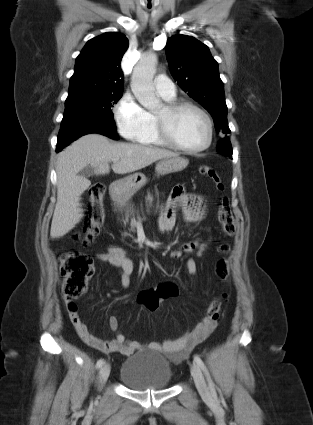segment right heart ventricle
I'll return each instance as SVG.
<instances>
[{"label": "right heart ventricle", "mask_w": 313, "mask_h": 425, "mask_svg": "<svg viewBox=\"0 0 313 425\" xmlns=\"http://www.w3.org/2000/svg\"><path fill=\"white\" fill-rule=\"evenodd\" d=\"M165 101L171 103L174 101L173 99H166L163 98ZM151 116V120H152V126L151 129L149 130V132L144 135L141 139H139L138 141L143 144V145H148V146H158V147H163V146H167L165 145L159 138L158 134H157V130H156V117L154 115H150Z\"/></svg>", "instance_id": "e07e8e85"}]
</instances>
